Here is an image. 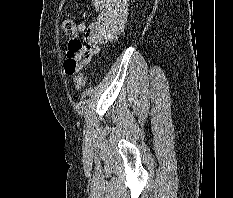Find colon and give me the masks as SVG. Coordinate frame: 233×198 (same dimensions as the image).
<instances>
[{
  "instance_id": "5ec220e1",
  "label": "colon",
  "mask_w": 233,
  "mask_h": 198,
  "mask_svg": "<svg viewBox=\"0 0 233 198\" xmlns=\"http://www.w3.org/2000/svg\"><path fill=\"white\" fill-rule=\"evenodd\" d=\"M92 4L95 9L101 10L104 5V0H92ZM63 29L66 33L71 35L73 40V49H78L82 43L79 38V33L76 29V25L71 19H65L63 21ZM64 68L68 75H75V86L78 90L82 89L85 84V74L79 72V64L73 52L67 54L66 60L64 62Z\"/></svg>"
}]
</instances>
